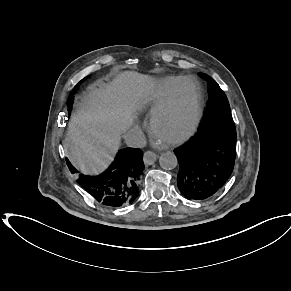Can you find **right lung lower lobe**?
<instances>
[{
    "label": "right lung lower lobe",
    "instance_id": "98d812e1",
    "mask_svg": "<svg viewBox=\"0 0 291 291\" xmlns=\"http://www.w3.org/2000/svg\"><path fill=\"white\" fill-rule=\"evenodd\" d=\"M67 164L72 173H78L70 162ZM144 168L143 152L136 148H124L119 150L105 172L97 176L79 174L77 182L106 207L127 206L139 196V182Z\"/></svg>",
    "mask_w": 291,
    "mask_h": 291
}]
</instances>
